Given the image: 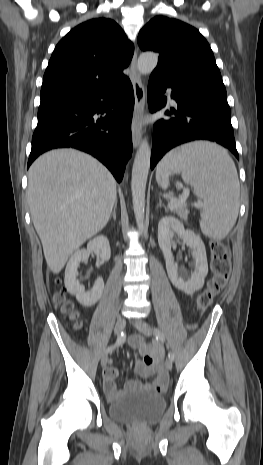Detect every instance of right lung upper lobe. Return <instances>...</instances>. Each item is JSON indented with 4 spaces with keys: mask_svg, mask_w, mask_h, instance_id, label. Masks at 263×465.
<instances>
[{
    "mask_svg": "<svg viewBox=\"0 0 263 465\" xmlns=\"http://www.w3.org/2000/svg\"><path fill=\"white\" fill-rule=\"evenodd\" d=\"M133 44L111 19L97 18L73 28L55 47L43 77L41 102L122 81Z\"/></svg>",
    "mask_w": 263,
    "mask_h": 465,
    "instance_id": "right-lung-upper-lobe-1",
    "label": "right lung upper lobe"
}]
</instances>
